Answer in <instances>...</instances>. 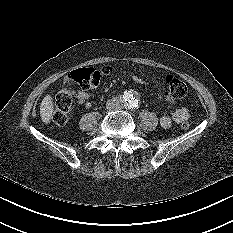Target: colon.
I'll return each instance as SVG.
<instances>
[{
  "instance_id": "5ec220e1",
  "label": "colon",
  "mask_w": 233,
  "mask_h": 233,
  "mask_svg": "<svg viewBox=\"0 0 233 233\" xmlns=\"http://www.w3.org/2000/svg\"><path fill=\"white\" fill-rule=\"evenodd\" d=\"M112 72L110 67L96 69L93 67L80 68L72 71L65 80V88L59 91L55 97V108L52 115L53 123L63 126L68 120V115L73 106L71 87L80 86L82 88H96L101 80L109 76ZM167 96L173 99H182L187 95V86L174 75H167L165 78ZM189 122L184 121L180 127L183 130L189 128Z\"/></svg>"
}]
</instances>
